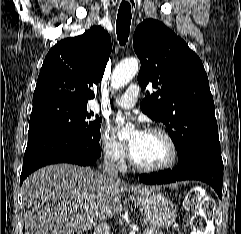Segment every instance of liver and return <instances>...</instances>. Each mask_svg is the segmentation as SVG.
<instances>
[{
    "label": "liver",
    "mask_w": 241,
    "mask_h": 234,
    "mask_svg": "<svg viewBox=\"0 0 241 234\" xmlns=\"http://www.w3.org/2000/svg\"><path fill=\"white\" fill-rule=\"evenodd\" d=\"M155 187L127 185L90 167L56 164L32 173L22 185L25 234H82L122 211L123 192Z\"/></svg>",
    "instance_id": "obj_1"
}]
</instances>
